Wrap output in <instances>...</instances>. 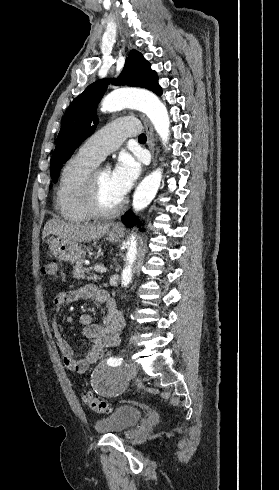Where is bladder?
<instances>
[{
    "label": "bladder",
    "instance_id": "1",
    "mask_svg": "<svg viewBox=\"0 0 279 490\" xmlns=\"http://www.w3.org/2000/svg\"><path fill=\"white\" fill-rule=\"evenodd\" d=\"M143 411L132 405H120L117 410L95 422L94 428L101 434L125 432L137 425Z\"/></svg>",
    "mask_w": 279,
    "mask_h": 490
}]
</instances>
